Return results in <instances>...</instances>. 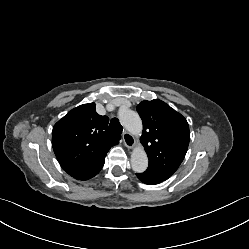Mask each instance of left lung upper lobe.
Here are the masks:
<instances>
[{
  "label": "left lung upper lobe",
  "mask_w": 249,
  "mask_h": 249,
  "mask_svg": "<svg viewBox=\"0 0 249 249\" xmlns=\"http://www.w3.org/2000/svg\"><path fill=\"white\" fill-rule=\"evenodd\" d=\"M137 111L143 122L141 143L148 170L171 176L183 161L190 140L186 119L161 100L142 101Z\"/></svg>",
  "instance_id": "obj_1"
}]
</instances>
